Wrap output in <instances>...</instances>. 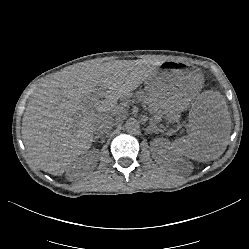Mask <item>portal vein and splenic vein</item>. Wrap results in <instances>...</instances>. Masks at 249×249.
I'll list each match as a JSON object with an SVG mask.
<instances>
[{
	"label": "portal vein and splenic vein",
	"mask_w": 249,
	"mask_h": 249,
	"mask_svg": "<svg viewBox=\"0 0 249 249\" xmlns=\"http://www.w3.org/2000/svg\"><path fill=\"white\" fill-rule=\"evenodd\" d=\"M98 98H99V92H97V93L95 94V100H93V101H96ZM92 107H93V103H91V104L88 106L87 110H91Z\"/></svg>",
	"instance_id": "18ae733b"
}]
</instances>
